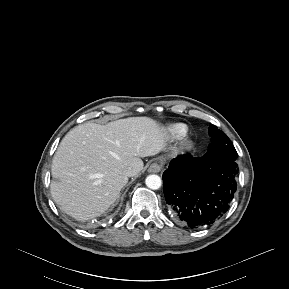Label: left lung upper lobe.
Instances as JSON below:
<instances>
[{"mask_svg": "<svg viewBox=\"0 0 289 289\" xmlns=\"http://www.w3.org/2000/svg\"><path fill=\"white\" fill-rule=\"evenodd\" d=\"M209 135L211 136V143L206 153L208 158L219 163L236 160L237 152L224 132L211 124L209 127Z\"/></svg>", "mask_w": 289, "mask_h": 289, "instance_id": "left-lung-upper-lobe-1", "label": "left lung upper lobe"}]
</instances>
